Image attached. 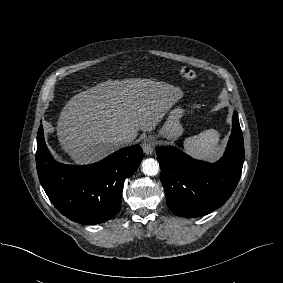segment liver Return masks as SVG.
<instances>
[{
    "label": "liver",
    "instance_id": "obj_1",
    "mask_svg": "<svg viewBox=\"0 0 283 283\" xmlns=\"http://www.w3.org/2000/svg\"><path fill=\"white\" fill-rule=\"evenodd\" d=\"M178 87L150 79L108 80L73 96L56 127L60 146L75 164L94 163L117 150L118 135L151 131L181 98Z\"/></svg>",
    "mask_w": 283,
    "mask_h": 283
}]
</instances>
